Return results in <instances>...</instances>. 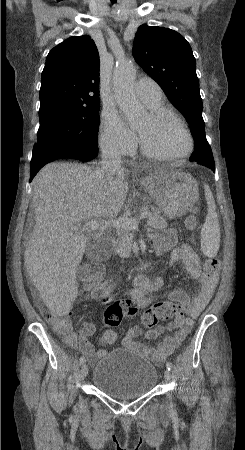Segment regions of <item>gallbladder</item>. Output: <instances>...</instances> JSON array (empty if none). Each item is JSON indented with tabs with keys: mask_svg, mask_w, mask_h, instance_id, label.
Instances as JSON below:
<instances>
[{
	"mask_svg": "<svg viewBox=\"0 0 245 450\" xmlns=\"http://www.w3.org/2000/svg\"><path fill=\"white\" fill-rule=\"evenodd\" d=\"M110 250L103 243L90 241L86 247V255L91 260H105Z\"/></svg>",
	"mask_w": 245,
	"mask_h": 450,
	"instance_id": "gallbladder-1",
	"label": "gallbladder"
}]
</instances>
